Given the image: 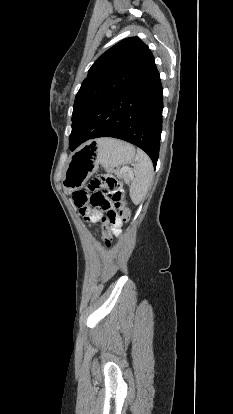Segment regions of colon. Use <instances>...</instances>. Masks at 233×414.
I'll return each instance as SVG.
<instances>
[{
  "label": "colon",
  "mask_w": 233,
  "mask_h": 414,
  "mask_svg": "<svg viewBox=\"0 0 233 414\" xmlns=\"http://www.w3.org/2000/svg\"><path fill=\"white\" fill-rule=\"evenodd\" d=\"M73 200L78 208L92 206L101 209L102 224L104 225V238L110 244V234L107 226L116 218L123 222L130 220V209L127 206L123 184L107 174H98L88 183L85 191L73 194Z\"/></svg>",
  "instance_id": "obj_1"
}]
</instances>
